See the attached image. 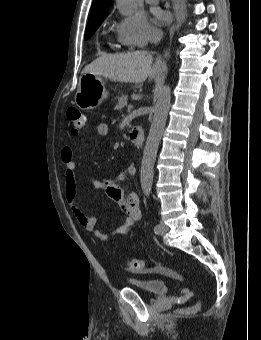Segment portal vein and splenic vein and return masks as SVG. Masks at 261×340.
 <instances>
[{
  "instance_id": "18ae733b",
  "label": "portal vein and splenic vein",
  "mask_w": 261,
  "mask_h": 340,
  "mask_svg": "<svg viewBox=\"0 0 261 340\" xmlns=\"http://www.w3.org/2000/svg\"><path fill=\"white\" fill-rule=\"evenodd\" d=\"M131 109H133V105H128V110L130 111Z\"/></svg>"
}]
</instances>
